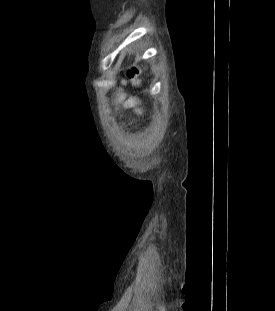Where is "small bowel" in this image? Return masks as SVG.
<instances>
[{"label": "small bowel", "mask_w": 275, "mask_h": 311, "mask_svg": "<svg viewBox=\"0 0 275 311\" xmlns=\"http://www.w3.org/2000/svg\"><path fill=\"white\" fill-rule=\"evenodd\" d=\"M119 100L122 103L123 106L128 107V106H134L138 103V99L135 97H130L128 99L125 98L124 93L119 94Z\"/></svg>", "instance_id": "1"}]
</instances>
